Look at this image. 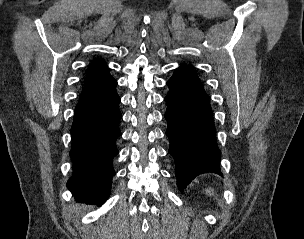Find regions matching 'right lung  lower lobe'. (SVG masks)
Segmentation results:
<instances>
[{
  "label": "right lung lower lobe",
  "mask_w": 304,
  "mask_h": 239,
  "mask_svg": "<svg viewBox=\"0 0 304 239\" xmlns=\"http://www.w3.org/2000/svg\"><path fill=\"white\" fill-rule=\"evenodd\" d=\"M116 85L108 71L87 83L71 128L73 175L67 185L77 199L98 205L110 195L112 160L119 153L116 139L122 116Z\"/></svg>",
  "instance_id": "98d812e1"
}]
</instances>
